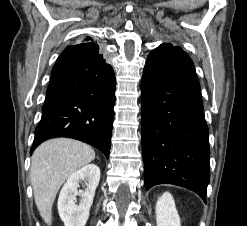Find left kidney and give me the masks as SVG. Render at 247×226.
<instances>
[{
    "label": "left kidney",
    "mask_w": 247,
    "mask_h": 226,
    "mask_svg": "<svg viewBox=\"0 0 247 226\" xmlns=\"http://www.w3.org/2000/svg\"><path fill=\"white\" fill-rule=\"evenodd\" d=\"M155 213L157 226H181L175 201L169 192L163 193L158 198Z\"/></svg>",
    "instance_id": "left-kidney-1"
}]
</instances>
